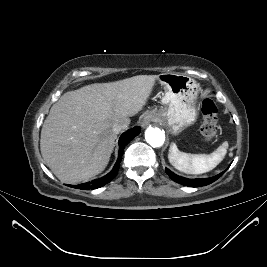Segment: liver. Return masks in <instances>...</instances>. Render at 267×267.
Returning <instances> with one entry per match:
<instances>
[{
  "label": "liver",
  "mask_w": 267,
  "mask_h": 267,
  "mask_svg": "<svg viewBox=\"0 0 267 267\" xmlns=\"http://www.w3.org/2000/svg\"><path fill=\"white\" fill-rule=\"evenodd\" d=\"M158 77L95 83L60 97L44 121L40 150L61 182L79 183L105 169L117 138L113 125L142 109Z\"/></svg>",
  "instance_id": "obj_1"
}]
</instances>
